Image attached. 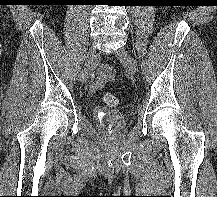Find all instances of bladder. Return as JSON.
<instances>
[{
  "instance_id": "1",
  "label": "bladder",
  "mask_w": 217,
  "mask_h": 197,
  "mask_svg": "<svg viewBox=\"0 0 217 197\" xmlns=\"http://www.w3.org/2000/svg\"><path fill=\"white\" fill-rule=\"evenodd\" d=\"M93 117L106 130L118 131L125 126L124 114L115 109L96 107Z\"/></svg>"
}]
</instances>
